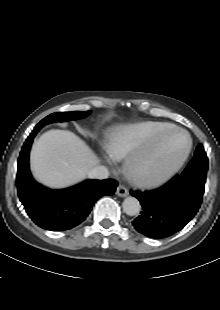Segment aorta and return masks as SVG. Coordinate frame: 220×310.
Returning <instances> with one entry per match:
<instances>
[{"mask_svg": "<svg viewBox=\"0 0 220 310\" xmlns=\"http://www.w3.org/2000/svg\"><path fill=\"white\" fill-rule=\"evenodd\" d=\"M123 211L129 215H137L141 209L140 202L135 197H127L123 201Z\"/></svg>", "mask_w": 220, "mask_h": 310, "instance_id": "762f6f07", "label": "aorta"}]
</instances>
